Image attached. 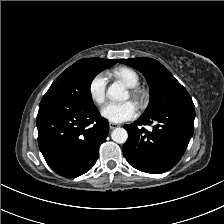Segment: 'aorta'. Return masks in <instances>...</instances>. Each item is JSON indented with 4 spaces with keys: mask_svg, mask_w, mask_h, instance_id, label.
Returning a JSON list of instances; mask_svg holds the SVG:
<instances>
[{
    "mask_svg": "<svg viewBox=\"0 0 224 224\" xmlns=\"http://www.w3.org/2000/svg\"><path fill=\"white\" fill-rule=\"evenodd\" d=\"M107 96L111 100L120 102L126 101L128 99L127 91L125 90L124 86L119 82H115L108 87ZM111 138L114 142L123 144L127 141L128 133L124 128L118 127L112 131Z\"/></svg>",
    "mask_w": 224,
    "mask_h": 224,
    "instance_id": "aorta-1",
    "label": "aorta"
}]
</instances>
